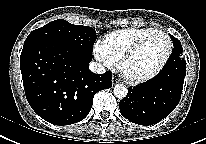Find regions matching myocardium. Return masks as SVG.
I'll return each instance as SVG.
<instances>
[{
  "label": "myocardium",
  "mask_w": 206,
  "mask_h": 144,
  "mask_svg": "<svg viewBox=\"0 0 206 144\" xmlns=\"http://www.w3.org/2000/svg\"><path fill=\"white\" fill-rule=\"evenodd\" d=\"M164 36L167 41H168V52L164 58V60L162 61V63L151 73L147 74V75H143V76H131L129 75L126 71H125V65L127 63V61L132 58L144 45L147 41H149L151 38L155 37V36ZM173 41L171 39V37L163 32V31H155L151 34L146 35L145 37L141 38L140 40H138L135 44H133L119 59V70L121 72V74L123 75V77L134 84H140V83H145L148 81L153 80L154 78H156L158 75L161 74V72L165 69V67L167 66V64L169 63L172 53H173Z\"/></svg>",
  "instance_id": "1"
}]
</instances>
